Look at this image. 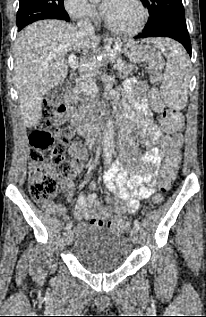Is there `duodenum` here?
Returning a JSON list of instances; mask_svg holds the SVG:
<instances>
[{
  "label": "duodenum",
  "instance_id": "1",
  "mask_svg": "<svg viewBox=\"0 0 206 317\" xmlns=\"http://www.w3.org/2000/svg\"><path fill=\"white\" fill-rule=\"evenodd\" d=\"M64 108H67V117L68 119L74 123H78V116L76 110L73 108L74 103L71 100L64 101L63 103ZM99 128L97 125L83 123L82 125L78 126V134L81 138L93 141L97 138ZM101 137H106V132H101Z\"/></svg>",
  "mask_w": 206,
  "mask_h": 317
}]
</instances>
